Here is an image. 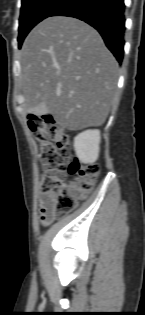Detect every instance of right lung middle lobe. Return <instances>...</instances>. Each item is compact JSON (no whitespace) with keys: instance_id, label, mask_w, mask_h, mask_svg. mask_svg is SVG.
<instances>
[{"instance_id":"dd1d6c3e","label":"right lung middle lobe","mask_w":145,"mask_h":315,"mask_svg":"<svg viewBox=\"0 0 145 315\" xmlns=\"http://www.w3.org/2000/svg\"><path fill=\"white\" fill-rule=\"evenodd\" d=\"M65 0H22L18 47L30 30L57 9Z\"/></svg>"}]
</instances>
